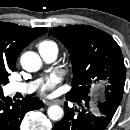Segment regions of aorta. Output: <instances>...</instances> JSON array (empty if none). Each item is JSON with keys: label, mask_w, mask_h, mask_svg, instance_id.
<instances>
[{"label": "aorta", "mask_w": 130, "mask_h": 130, "mask_svg": "<svg viewBox=\"0 0 130 130\" xmlns=\"http://www.w3.org/2000/svg\"><path fill=\"white\" fill-rule=\"evenodd\" d=\"M21 66L28 72H36L42 66V60L40 56L32 51L25 52L20 59ZM63 109L58 105H52L48 108V117L53 121H58L63 116Z\"/></svg>", "instance_id": "obj_1"}]
</instances>
